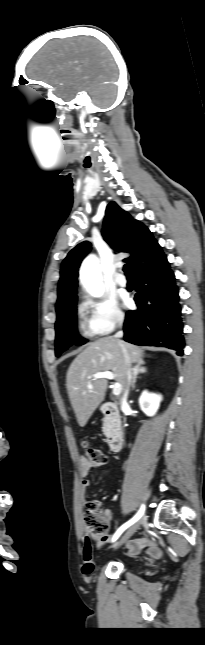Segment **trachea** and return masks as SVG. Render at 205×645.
<instances>
[{
	"instance_id": "obj_1",
	"label": "trachea",
	"mask_w": 205,
	"mask_h": 645,
	"mask_svg": "<svg viewBox=\"0 0 205 645\" xmlns=\"http://www.w3.org/2000/svg\"><path fill=\"white\" fill-rule=\"evenodd\" d=\"M131 269H132V267H131L130 264L127 263V264L124 265L123 270H124V272H125V274L127 276H132Z\"/></svg>"
}]
</instances>
